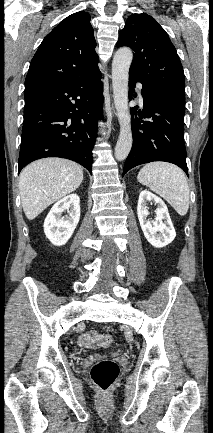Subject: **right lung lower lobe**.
Returning <instances> with one entry per match:
<instances>
[{
  "mask_svg": "<svg viewBox=\"0 0 213 433\" xmlns=\"http://www.w3.org/2000/svg\"><path fill=\"white\" fill-rule=\"evenodd\" d=\"M99 68L62 85H26L19 172L44 157L78 162L92 174V149L101 118Z\"/></svg>",
  "mask_w": 213,
  "mask_h": 433,
  "instance_id": "right-lung-lower-lobe-1",
  "label": "right lung lower lobe"
}]
</instances>
